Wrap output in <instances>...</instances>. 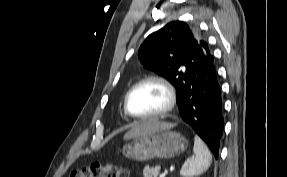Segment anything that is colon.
<instances>
[{"label":"colon","instance_id":"colon-1","mask_svg":"<svg viewBox=\"0 0 287 177\" xmlns=\"http://www.w3.org/2000/svg\"><path fill=\"white\" fill-rule=\"evenodd\" d=\"M70 177H129L128 171L116 163H93L74 170Z\"/></svg>","mask_w":287,"mask_h":177}]
</instances>
